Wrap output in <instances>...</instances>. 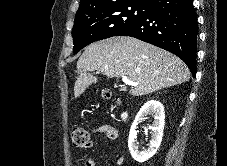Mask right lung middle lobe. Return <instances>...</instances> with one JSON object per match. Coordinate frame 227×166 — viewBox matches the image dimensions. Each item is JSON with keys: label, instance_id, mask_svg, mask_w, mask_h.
<instances>
[{"label": "right lung middle lobe", "instance_id": "dd1d6c3e", "mask_svg": "<svg viewBox=\"0 0 227 166\" xmlns=\"http://www.w3.org/2000/svg\"><path fill=\"white\" fill-rule=\"evenodd\" d=\"M147 9L148 5L127 3L76 14L72 29L74 54L90 43L117 36L140 20Z\"/></svg>", "mask_w": 227, "mask_h": 166}]
</instances>
